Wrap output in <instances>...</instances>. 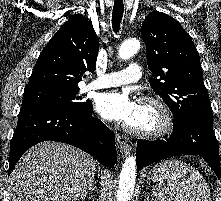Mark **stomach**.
<instances>
[{
	"label": "stomach",
	"mask_w": 221,
	"mask_h": 201,
	"mask_svg": "<svg viewBox=\"0 0 221 201\" xmlns=\"http://www.w3.org/2000/svg\"><path fill=\"white\" fill-rule=\"evenodd\" d=\"M148 179L153 182L161 181L164 179L162 172L157 171L155 168L149 172Z\"/></svg>",
	"instance_id": "obj_1"
}]
</instances>
